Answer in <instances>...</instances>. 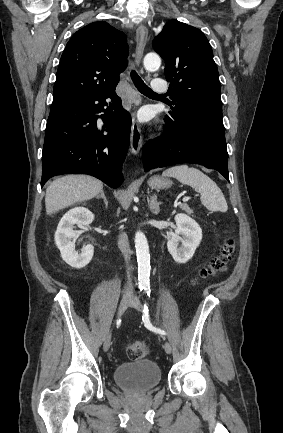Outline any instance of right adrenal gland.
I'll return each instance as SVG.
<instances>
[{
	"instance_id": "2a0ac1e0",
	"label": "right adrenal gland",
	"mask_w": 283,
	"mask_h": 433,
	"mask_svg": "<svg viewBox=\"0 0 283 433\" xmlns=\"http://www.w3.org/2000/svg\"><path fill=\"white\" fill-rule=\"evenodd\" d=\"M96 198H103L104 202H105V206L107 208L108 206V200L104 194V190H101L100 194H96Z\"/></svg>"
}]
</instances>
